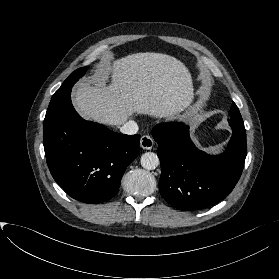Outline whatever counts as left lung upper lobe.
<instances>
[{
  "mask_svg": "<svg viewBox=\"0 0 279 279\" xmlns=\"http://www.w3.org/2000/svg\"><path fill=\"white\" fill-rule=\"evenodd\" d=\"M229 115H230V119L228 120L229 123L244 127V122L242 120L241 114L234 102L232 103L231 109L229 111Z\"/></svg>",
  "mask_w": 279,
  "mask_h": 279,
  "instance_id": "1",
  "label": "left lung upper lobe"
}]
</instances>
